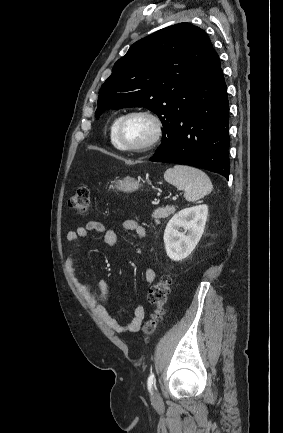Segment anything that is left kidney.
<instances>
[{"mask_svg": "<svg viewBox=\"0 0 283 433\" xmlns=\"http://www.w3.org/2000/svg\"><path fill=\"white\" fill-rule=\"evenodd\" d=\"M207 216L208 206L202 204L185 208L169 220L164 231V244L171 260L180 261L191 254L203 235ZM181 228L185 232H181Z\"/></svg>", "mask_w": 283, "mask_h": 433, "instance_id": "1", "label": "left kidney"}]
</instances>
